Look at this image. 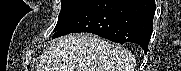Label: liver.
I'll return each instance as SVG.
<instances>
[{"instance_id": "6515ba94", "label": "liver", "mask_w": 181, "mask_h": 71, "mask_svg": "<svg viewBox=\"0 0 181 71\" xmlns=\"http://www.w3.org/2000/svg\"><path fill=\"white\" fill-rule=\"evenodd\" d=\"M132 54L88 33L58 38L44 51L36 71H134Z\"/></svg>"}]
</instances>
